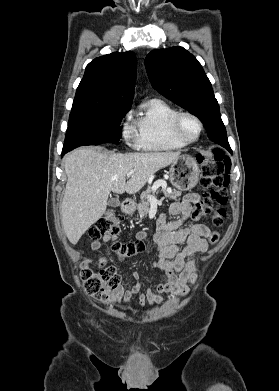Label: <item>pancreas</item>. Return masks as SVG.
Listing matches in <instances>:
<instances>
[{
  "instance_id": "obj_1",
  "label": "pancreas",
  "mask_w": 279,
  "mask_h": 391,
  "mask_svg": "<svg viewBox=\"0 0 279 391\" xmlns=\"http://www.w3.org/2000/svg\"><path fill=\"white\" fill-rule=\"evenodd\" d=\"M161 192L164 193L165 198H167V199L176 200L179 196H181V192L176 191V190L168 191V190L162 189ZM156 194H158V191H154L152 187H149L147 190L142 192L141 197H140L141 201L137 205V209H138L140 217L146 216L149 212L150 202L148 201L147 197L149 195L155 196Z\"/></svg>"
}]
</instances>
